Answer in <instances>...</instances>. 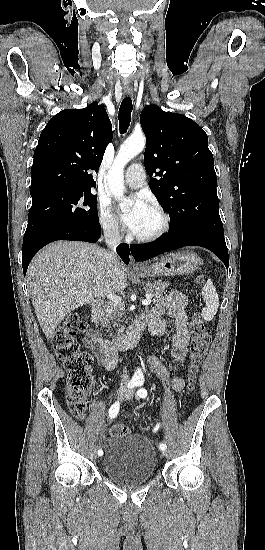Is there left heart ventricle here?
I'll list each match as a JSON object with an SVG mask.
<instances>
[{"label":"left heart ventricle","instance_id":"left-heart-ventricle-1","mask_svg":"<svg viewBox=\"0 0 265 550\" xmlns=\"http://www.w3.org/2000/svg\"><path fill=\"white\" fill-rule=\"evenodd\" d=\"M160 224H161L160 217L151 209H149L141 219L139 227L134 234H137V235L150 234L155 230H157Z\"/></svg>","mask_w":265,"mask_h":550}]
</instances>
